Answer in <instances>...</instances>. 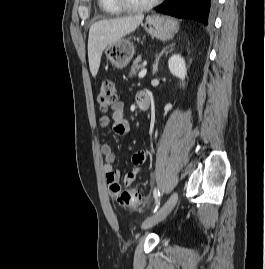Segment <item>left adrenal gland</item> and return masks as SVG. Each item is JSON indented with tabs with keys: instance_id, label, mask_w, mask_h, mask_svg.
<instances>
[{
	"instance_id": "a2214340",
	"label": "left adrenal gland",
	"mask_w": 265,
	"mask_h": 269,
	"mask_svg": "<svg viewBox=\"0 0 265 269\" xmlns=\"http://www.w3.org/2000/svg\"><path fill=\"white\" fill-rule=\"evenodd\" d=\"M175 44H170L166 46L165 48L162 49L158 55H156L155 63L153 65V75L158 71V64H159V59L164 53H168L167 50L170 49V51L174 48Z\"/></svg>"
}]
</instances>
